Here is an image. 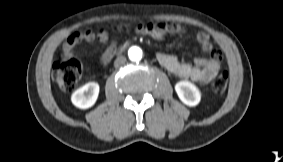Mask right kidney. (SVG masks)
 <instances>
[{
  "mask_svg": "<svg viewBox=\"0 0 283 162\" xmlns=\"http://www.w3.org/2000/svg\"><path fill=\"white\" fill-rule=\"evenodd\" d=\"M99 94V85L96 82H89L77 89L71 96L72 103L80 108L87 109L92 107Z\"/></svg>",
  "mask_w": 283,
  "mask_h": 162,
  "instance_id": "ca27d5eb",
  "label": "right kidney"
}]
</instances>
